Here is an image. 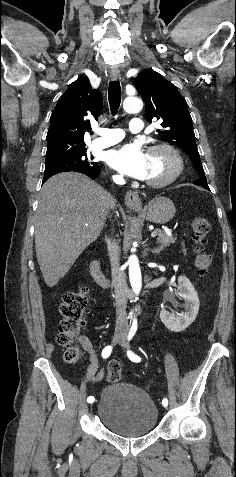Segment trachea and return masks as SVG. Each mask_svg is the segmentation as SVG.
I'll return each instance as SVG.
<instances>
[{"instance_id": "obj_1", "label": "trachea", "mask_w": 236, "mask_h": 477, "mask_svg": "<svg viewBox=\"0 0 236 477\" xmlns=\"http://www.w3.org/2000/svg\"><path fill=\"white\" fill-rule=\"evenodd\" d=\"M108 100L112 115H116L121 103V87L119 81H112L108 88Z\"/></svg>"}]
</instances>
